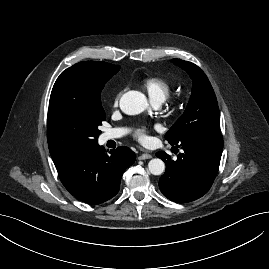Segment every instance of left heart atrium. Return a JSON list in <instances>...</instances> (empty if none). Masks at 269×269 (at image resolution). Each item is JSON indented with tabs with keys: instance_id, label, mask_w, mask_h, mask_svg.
<instances>
[{
	"instance_id": "39dd6f15",
	"label": "left heart atrium",
	"mask_w": 269,
	"mask_h": 269,
	"mask_svg": "<svg viewBox=\"0 0 269 269\" xmlns=\"http://www.w3.org/2000/svg\"><path fill=\"white\" fill-rule=\"evenodd\" d=\"M135 137L140 141H145L147 139V129L145 127H140L135 131Z\"/></svg>"
}]
</instances>
